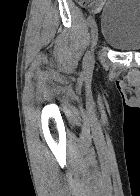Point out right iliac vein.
I'll return each instance as SVG.
<instances>
[{
	"label": "right iliac vein",
	"instance_id": "right-iliac-vein-1",
	"mask_svg": "<svg viewBox=\"0 0 140 196\" xmlns=\"http://www.w3.org/2000/svg\"><path fill=\"white\" fill-rule=\"evenodd\" d=\"M99 35H98V28L95 22L91 23V54L86 57V64L90 65L93 62V51L97 47Z\"/></svg>",
	"mask_w": 140,
	"mask_h": 196
}]
</instances>
